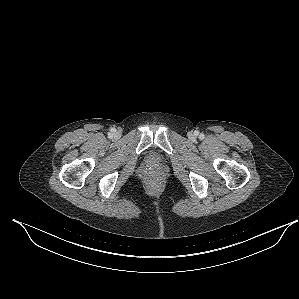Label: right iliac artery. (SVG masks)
Instances as JSON below:
<instances>
[{"label": "right iliac artery", "mask_w": 299, "mask_h": 299, "mask_svg": "<svg viewBox=\"0 0 299 299\" xmlns=\"http://www.w3.org/2000/svg\"><path fill=\"white\" fill-rule=\"evenodd\" d=\"M111 132H112V133L115 132V129H111Z\"/></svg>", "instance_id": "obj_1"}]
</instances>
